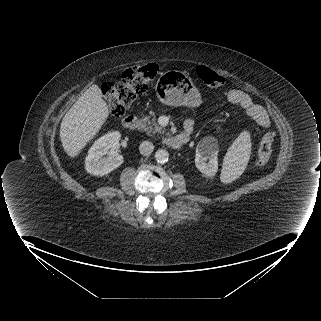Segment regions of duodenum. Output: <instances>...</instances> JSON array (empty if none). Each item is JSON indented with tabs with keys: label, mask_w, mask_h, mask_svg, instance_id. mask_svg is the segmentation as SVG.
<instances>
[{
	"label": "duodenum",
	"mask_w": 321,
	"mask_h": 321,
	"mask_svg": "<svg viewBox=\"0 0 321 321\" xmlns=\"http://www.w3.org/2000/svg\"><path fill=\"white\" fill-rule=\"evenodd\" d=\"M139 118L136 115L129 114L122 120V125L128 130H135L139 126ZM186 142L185 136H168L164 138V144L170 148H180Z\"/></svg>",
	"instance_id": "410a0bca"
}]
</instances>
